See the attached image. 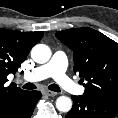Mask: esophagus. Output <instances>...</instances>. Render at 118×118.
Instances as JSON below:
<instances>
[{"instance_id": "esophagus-1", "label": "esophagus", "mask_w": 118, "mask_h": 118, "mask_svg": "<svg viewBox=\"0 0 118 118\" xmlns=\"http://www.w3.org/2000/svg\"><path fill=\"white\" fill-rule=\"evenodd\" d=\"M44 94H46V95H48V96H51V97H53V96H56V95H57V93H56V92L49 91V90L44 91Z\"/></svg>"}]
</instances>
